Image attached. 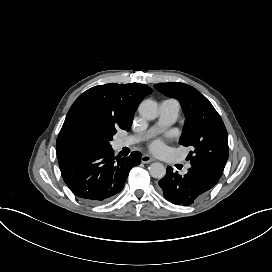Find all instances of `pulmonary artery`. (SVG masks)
Instances as JSON below:
<instances>
[{
    "mask_svg": "<svg viewBox=\"0 0 272 272\" xmlns=\"http://www.w3.org/2000/svg\"><path fill=\"white\" fill-rule=\"evenodd\" d=\"M179 113H180V105L177 100H174V99L163 100L160 103L159 120L157 124L153 126L152 128H150L149 130L144 131L142 133L115 139L112 142L113 150L119 151L125 146H129L139 141H142L144 139H147L151 137L152 135L158 133L159 131L170 127L177 121ZM181 169L183 172L188 173L191 171L192 168L190 165L185 164L182 166Z\"/></svg>",
    "mask_w": 272,
    "mask_h": 272,
    "instance_id": "pulmonary-artery-1",
    "label": "pulmonary artery"
}]
</instances>
